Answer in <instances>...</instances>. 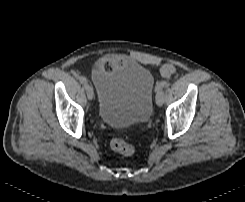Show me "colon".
I'll return each mask as SVG.
<instances>
[{
	"mask_svg": "<svg viewBox=\"0 0 245 202\" xmlns=\"http://www.w3.org/2000/svg\"><path fill=\"white\" fill-rule=\"evenodd\" d=\"M104 65H106L109 68H112L114 66V64L111 61L105 62ZM174 70V64H168L162 68L161 74L165 77H170L174 73ZM110 145L115 152L124 156H130L135 151V147L131 142L119 137H113L110 141Z\"/></svg>",
	"mask_w": 245,
	"mask_h": 202,
	"instance_id": "obj_1",
	"label": "colon"
}]
</instances>
